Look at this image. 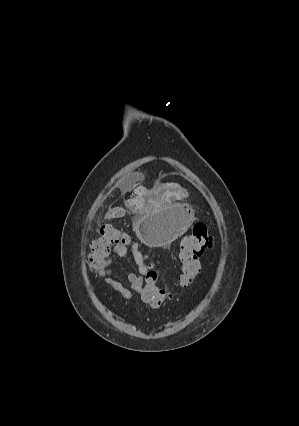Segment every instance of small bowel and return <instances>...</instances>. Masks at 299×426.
<instances>
[{
  "label": "small bowel",
  "mask_w": 299,
  "mask_h": 426,
  "mask_svg": "<svg viewBox=\"0 0 299 426\" xmlns=\"http://www.w3.org/2000/svg\"><path fill=\"white\" fill-rule=\"evenodd\" d=\"M131 254L138 267L137 271H126L123 275L124 283L114 278L113 259L108 257L105 264L98 271L102 280L117 291L123 298L130 301H140L142 303V290L148 272L143 254L133 245H118L113 248V255L125 257Z\"/></svg>",
  "instance_id": "small-bowel-1"
}]
</instances>
